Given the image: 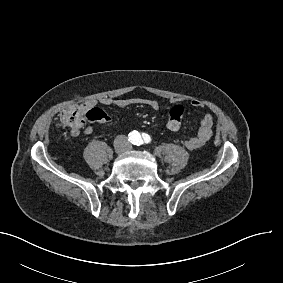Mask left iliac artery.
Returning a JSON list of instances; mask_svg holds the SVG:
<instances>
[{
    "label": "left iliac artery",
    "mask_w": 283,
    "mask_h": 283,
    "mask_svg": "<svg viewBox=\"0 0 283 283\" xmlns=\"http://www.w3.org/2000/svg\"><path fill=\"white\" fill-rule=\"evenodd\" d=\"M143 143H151V137L146 133H142V137L139 135L134 142V144L137 146L142 145Z\"/></svg>",
    "instance_id": "obj_1"
}]
</instances>
